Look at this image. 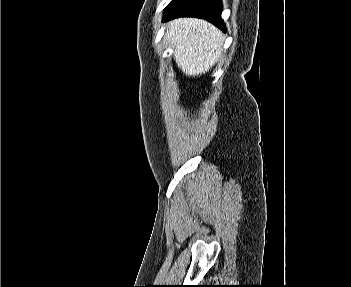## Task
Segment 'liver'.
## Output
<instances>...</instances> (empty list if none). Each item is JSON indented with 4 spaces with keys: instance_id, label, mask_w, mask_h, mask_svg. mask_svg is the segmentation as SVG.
Wrapping results in <instances>:
<instances>
[{
    "instance_id": "1",
    "label": "liver",
    "mask_w": 351,
    "mask_h": 287,
    "mask_svg": "<svg viewBox=\"0 0 351 287\" xmlns=\"http://www.w3.org/2000/svg\"><path fill=\"white\" fill-rule=\"evenodd\" d=\"M165 39L174 48L178 68L187 76H198L218 61L224 35L205 20L178 18L167 23Z\"/></svg>"
}]
</instances>
